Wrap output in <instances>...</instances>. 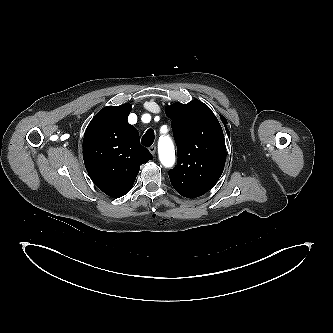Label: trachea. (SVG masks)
<instances>
[{
    "instance_id": "trachea-1",
    "label": "trachea",
    "mask_w": 333,
    "mask_h": 333,
    "mask_svg": "<svg viewBox=\"0 0 333 333\" xmlns=\"http://www.w3.org/2000/svg\"><path fill=\"white\" fill-rule=\"evenodd\" d=\"M154 138H155L154 131L152 129H148L144 134V136L142 137L141 143L144 146L149 147L153 144Z\"/></svg>"
}]
</instances>
